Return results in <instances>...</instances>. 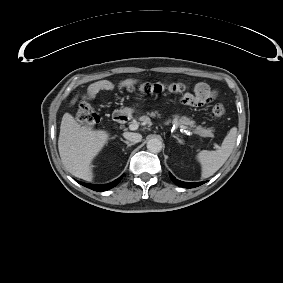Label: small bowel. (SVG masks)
Here are the masks:
<instances>
[{"instance_id":"1","label":"small bowel","mask_w":283,"mask_h":283,"mask_svg":"<svg viewBox=\"0 0 283 283\" xmlns=\"http://www.w3.org/2000/svg\"><path fill=\"white\" fill-rule=\"evenodd\" d=\"M133 85V81L131 79H125L121 81L120 86L123 88H130ZM114 84L109 81H101L99 83L92 84L89 89V96L94 98L100 89L110 90L114 89ZM195 96H182L181 100L184 103L189 105H196L200 103L208 102L211 98H213V93H211L205 85L198 84L195 89Z\"/></svg>"}]
</instances>
